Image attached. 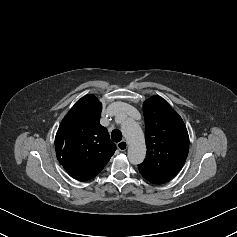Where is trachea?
Listing matches in <instances>:
<instances>
[{
	"instance_id": "1",
	"label": "trachea",
	"mask_w": 237,
	"mask_h": 237,
	"mask_svg": "<svg viewBox=\"0 0 237 237\" xmlns=\"http://www.w3.org/2000/svg\"><path fill=\"white\" fill-rule=\"evenodd\" d=\"M111 138L114 142H120L121 139H122L121 131H119L117 129L113 130L112 133H111Z\"/></svg>"
}]
</instances>
